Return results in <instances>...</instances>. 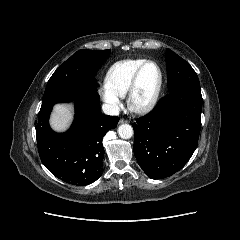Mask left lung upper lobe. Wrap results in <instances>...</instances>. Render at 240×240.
Wrapping results in <instances>:
<instances>
[{
    "mask_svg": "<svg viewBox=\"0 0 240 240\" xmlns=\"http://www.w3.org/2000/svg\"><path fill=\"white\" fill-rule=\"evenodd\" d=\"M168 74V91L172 92L179 88H200L198 76L193 68L172 50L167 49L165 54Z\"/></svg>",
    "mask_w": 240,
    "mask_h": 240,
    "instance_id": "left-lung-upper-lobe-1",
    "label": "left lung upper lobe"
}]
</instances>
